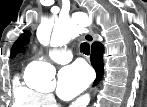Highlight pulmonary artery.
<instances>
[{
  "instance_id": "e3ab8cb5",
  "label": "pulmonary artery",
  "mask_w": 147,
  "mask_h": 107,
  "mask_svg": "<svg viewBox=\"0 0 147 107\" xmlns=\"http://www.w3.org/2000/svg\"><path fill=\"white\" fill-rule=\"evenodd\" d=\"M48 55L53 61L60 64L68 63L72 59V53L65 49H51Z\"/></svg>"
}]
</instances>
